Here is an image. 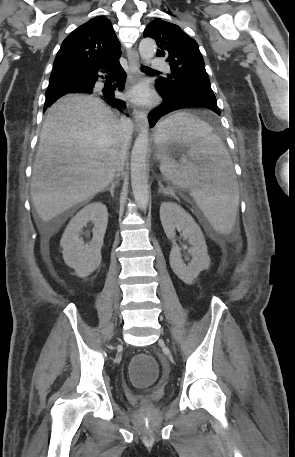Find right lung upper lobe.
<instances>
[{
	"label": "right lung upper lobe",
	"instance_id": "right-lung-upper-lobe-1",
	"mask_svg": "<svg viewBox=\"0 0 295 457\" xmlns=\"http://www.w3.org/2000/svg\"><path fill=\"white\" fill-rule=\"evenodd\" d=\"M120 54V42L110 20L95 17L65 38L54 60L51 76L83 73Z\"/></svg>",
	"mask_w": 295,
	"mask_h": 457
}]
</instances>
